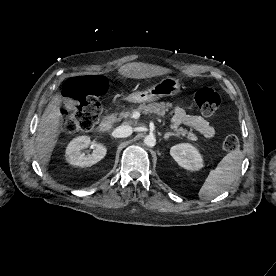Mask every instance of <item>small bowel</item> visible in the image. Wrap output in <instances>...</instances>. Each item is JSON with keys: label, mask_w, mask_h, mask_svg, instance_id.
Segmentation results:
<instances>
[{"label": "small bowel", "mask_w": 276, "mask_h": 276, "mask_svg": "<svg viewBox=\"0 0 276 276\" xmlns=\"http://www.w3.org/2000/svg\"><path fill=\"white\" fill-rule=\"evenodd\" d=\"M171 122L174 125H187L208 139L214 137L215 135V129L208 120L199 115L188 114L182 107L179 106L173 108Z\"/></svg>", "instance_id": "small-bowel-1"}]
</instances>
